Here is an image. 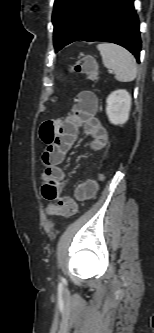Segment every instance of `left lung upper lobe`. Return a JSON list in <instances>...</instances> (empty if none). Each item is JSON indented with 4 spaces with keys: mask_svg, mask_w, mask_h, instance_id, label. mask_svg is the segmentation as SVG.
<instances>
[{
    "mask_svg": "<svg viewBox=\"0 0 154 333\" xmlns=\"http://www.w3.org/2000/svg\"><path fill=\"white\" fill-rule=\"evenodd\" d=\"M97 0H55L52 15L54 47L60 50Z\"/></svg>",
    "mask_w": 154,
    "mask_h": 333,
    "instance_id": "obj_1",
    "label": "left lung upper lobe"
}]
</instances>
